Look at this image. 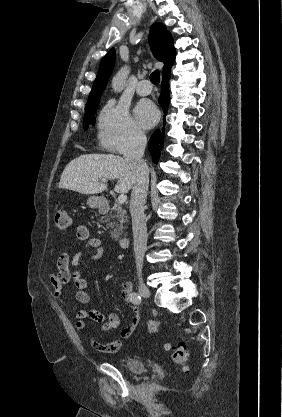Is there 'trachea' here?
<instances>
[{
	"label": "trachea",
	"instance_id": "1",
	"mask_svg": "<svg viewBox=\"0 0 282 417\" xmlns=\"http://www.w3.org/2000/svg\"><path fill=\"white\" fill-rule=\"evenodd\" d=\"M150 81L154 84V85H159L160 83V72L159 70H155L154 72H152L150 74Z\"/></svg>",
	"mask_w": 282,
	"mask_h": 417
}]
</instances>
